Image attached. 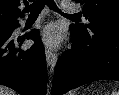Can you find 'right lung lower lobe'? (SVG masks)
I'll use <instances>...</instances> for the list:
<instances>
[{
	"label": "right lung lower lobe",
	"mask_w": 119,
	"mask_h": 95,
	"mask_svg": "<svg viewBox=\"0 0 119 95\" xmlns=\"http://www.w3.org/2000/svg\"><path fill=\"white\" fill-rule=\"evenodd\" d=\"M13 31L0 35V84L21 94L45 95V51L39 31L34 29L18 38L12 36ZM25 39H33L35 43L31 48L23 50L20 46Z\"/></svg>",
	"instance_id": "98d812e1"
}]
</instances>
